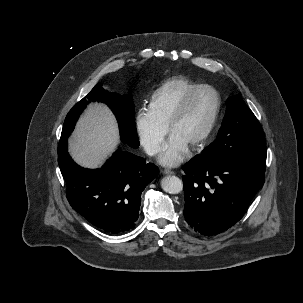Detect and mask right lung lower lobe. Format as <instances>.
Wrapping results in <instances>:
<instances>
[{"label": "right lung lower lobe", "instance_id": "1", "mask_svg": "<svg viewBox=\"0 0 303 303\" xmlns=\"http://www.w3.org/2000/svg\"><path fill=\"white\" fill-rule=\"evenodd\" d=\"M58 163L72 208L111 234L134 228L141 193L159 173L154 164L120 149L100 169L82 168L69 156L67 139H60Z\"/></svg>", "mask_w": 303, "mask_h": 303}]
</instances>
